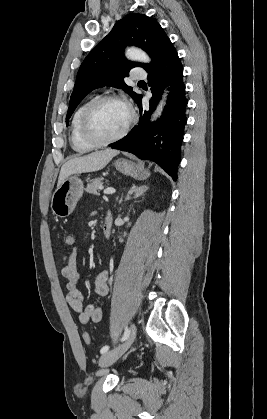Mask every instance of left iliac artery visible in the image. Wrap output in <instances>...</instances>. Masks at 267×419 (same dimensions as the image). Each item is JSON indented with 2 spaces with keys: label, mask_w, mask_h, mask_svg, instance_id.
I'll return each instance as SVG.
<instances>
[{
  "label": "left iliac artery",
  "mask_w": 267,
  "mask_h": 419,
  "mask_svg": "<svg viewBox=\"0 0 267 419\" xmlns=\"http://www.w3.org/2000/svg\"><path fill=\"white\" fill-rule=\"evenodd\" d=\"M129 334H130V331H129V329L126 327V328H125L124 335H123V337L121 338V341H125V340L128 338ZM108 350H109V346H108V345H105V346H103V347L101 348L100 352H101V354H104V353H105V352H107Z\"/></svg>",
  "instance_id": "44dca946"
}]
</instances>
